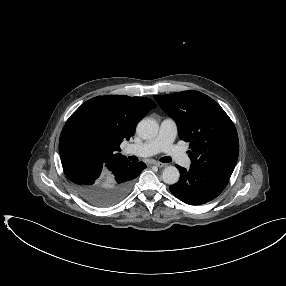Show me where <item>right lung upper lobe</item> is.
<instances>
[{
  "label": "right lung upper lobe",
  "instance_id": "cb5924a9",
  "mask_svg": "<svg viewBox=\"0 0 286 286\" xmlns=\"http://www.w3.org/2000/svg\"><path fill=\"white\" fill-rule=\"evenodd\" d=\"M155 107L149 98L98 96L83 103L63 129L84 135L108 161L127 159L119 153L120 144L134 135L138 121Z\"/></svg>",
  "mask_w": 286,
  "mask_h": 286
}]
</instances>
